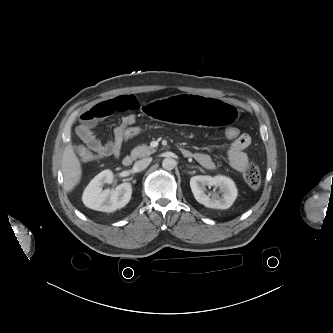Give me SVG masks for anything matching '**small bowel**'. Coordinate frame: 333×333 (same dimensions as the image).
<instances>
[{
  "label": "small bowel",
  "instance_id": "1",
  "mask_svg": "<svg viewBox=\"0 0 333 333\" xmlns=\"http://www.w3.org/2000/svg\"><path fill=\"white\" fill-rule=\"evenodd\" d=\"M138 108L139 102L133 95H122L99 102L83 111L80 114L81 123L76 129V133L82 140L83 145L78 146L77 150L93 152L99 159L111 156L118 157L123 144V139L119 131L129 124L135 123L136 115L129 113L123 116L120 123L114 128L112 139L104 144L95 136L93 129L99 121L116 112H131ZM250 142L251 139L248 134H241L229 146L227 152L229 164L239 172H244L248 165L246 149L249 147ZM192 157L206 169L212 170L215 168L213 159L206 153H192Z\"/></svg>",
  "mask_w": 333,
  "mask_h": 333
}]
</instances>
